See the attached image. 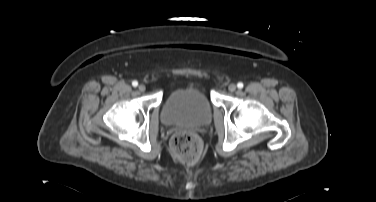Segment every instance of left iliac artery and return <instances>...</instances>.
Wrapping results in <instances>:
<instances>
[{
    "instance_id": "44dca946",
    "label": "left iliac artery",
    "mask_w": 376,
    "mask_h": 202,
    "mask_svg": "<svg viewBox=\"0 0 376 202\" xmlns=\"http://www.w3.org/2000/svg\"><path fill=\"white\" fill-rule=\"evenodd\" d=\"M243 83L242 82H239L238 84H237V87L239 88V89H242L243 88Z\"/></svg>"
}]
</instances>
